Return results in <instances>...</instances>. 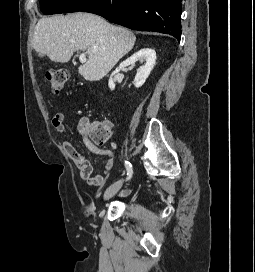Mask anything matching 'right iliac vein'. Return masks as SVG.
Returning a JSON list of instances; mask_svg holds the SVG:
<instances>
[{
	"mask_svg": "<svg viewBox=\"0 0 255 272\" xmlns=\"http://www.w3.org/2000/svg\"><path fill=\"white\" fill-rule=\"evenodd\" d=\"M122 187V180L113 183L104 193V200L107 201L112 198Z\"/></svg>",
	"mask_w": 255,
	"mask_h": 272,
	"instance_id": "right-iliac-vein-1",
	"label": "right iliac vein"
}]
</instances>
